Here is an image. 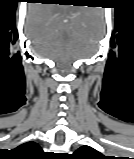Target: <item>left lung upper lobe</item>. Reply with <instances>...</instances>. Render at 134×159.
Segmentation results:
<instances>
[{"mask_svg":"<svg viewBox=\"0 0 134 159\" xmlns=\"http://www.w3.org/2000/svg\"><path fill=\"white\" fill-rule=\"evenodd\" d=\"M71 159H107L100 152L96 151L90 146L80 147L73 155Z\"/></svg>","mask_w":134,"mask_h":159,"instance_id":"obj_1","label":"left lung upper lobe"}]
</instances>
